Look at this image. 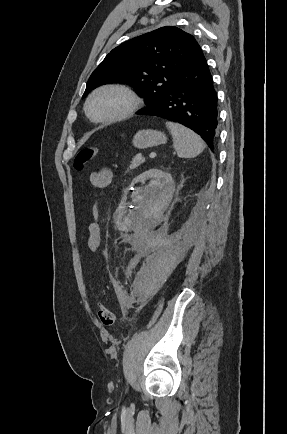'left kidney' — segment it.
Segmentation results:
<instances>
[{"label": "left kidney", "instance_id": "5707ae66", "mask_svg": "<svg viewBox=\"0 0 287 434\" xmlns=\"http://www.w3.org/2000/svg\"><path fill=\"white\" fill-rule=\"evenodd\" d=\"M151 179L144 188H138L132 194L133 203L138 205L130 216L123 218L122 225L131 226L140 220L150 216L151 212L159 208L163 209L172 200L175 183L170 173L160 169H150L139 175L135 181L143 182ZM125 205L119 208L121 216L124 215Z\"/></svg>", "mask_w": 287, "mask_h": 434}]
</instances>
